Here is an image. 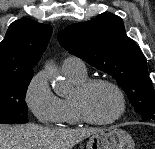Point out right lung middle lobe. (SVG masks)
I'll return each instance as SVG.
<instances>
[{
	"label": "right lung middle lobe",
	"instance_id": "dd1d6c3e",
	"mask_svg": "<svg viewBox=\"0 0 155 149\" xmlns=\"http://www.w3.org/2000/svg\"><path fill=\"white\" fill-rule=\"evenodd\" d=\"M32 77L33 72L0 77V124L28 122L25 96Z\"/></svg>",
	"mask_w": 155,
	"mask_h": 149
}]
</instances>
